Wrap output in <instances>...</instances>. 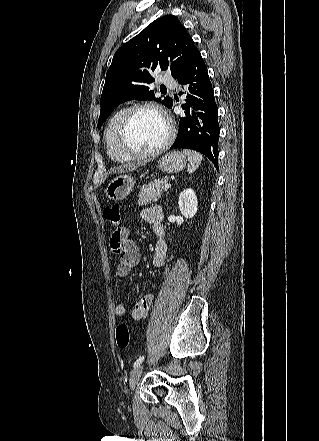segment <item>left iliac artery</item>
I'll use <instances>...</instances> for the list:
<instances>
[{"mask_svg":"<svg viewBox=\"0 0 319 441\" xmlns=\"http://www.w3.org/2000/svg\"><path fill=\"white\" fill-rule=\"evenodd\" d=\"M144 360V355L140 356L135 362H134V367L140 365Z\"/></svg>","mask_w":319,"mask_h":441,"instance_id":"obj_1","label":"left iliac artery"}]
</instances>
